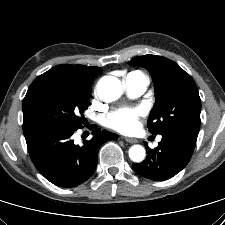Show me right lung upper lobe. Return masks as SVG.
Listing matches in <instances>:
<instances>
[{"label": "right lung upper lobe", "instance_id": "right-lung-upper-lobe-1", "mask_svg": "<svg viewBox=\"0 0 225 225\" xmlns=\"http://www.w3.org/2000/svg\"><path fill=\"white\" fill-rule=\"evenodd\" d=\"M101 68L96 66L88 67L85 65H69V64H61L51 68L47 72H67L74 75H77L81 78L94 80L95 76L99 73Z\"/></svg>", "mask_w": 225, "mask_h": 225}]
</instances>
